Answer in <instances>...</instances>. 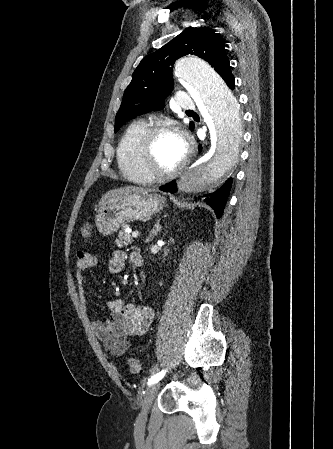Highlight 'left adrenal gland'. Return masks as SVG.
Segmentation results:
<instances>
[{
  "label": "left adrenal gland",
  "instance_id": "obj_1",
  "mask_svg": "<svg viewBox=\"0 0 333 449\" xmlns=\"http://www.w3.org/2000/svg\"><path fill=\"white\" fill-rule=\"evenodd\" d=\"M162 230V226L159 224V221L154 225L153 229L151 230L149 237L147 238V242L152 240L155 235H157L158 232Z\"/></svg>",
  "mask_w": 333,
  "mask_h": 449
}]
</instances>
